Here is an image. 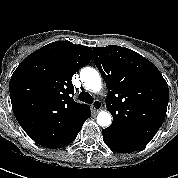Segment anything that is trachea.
I'll return each instance as SVG.
<instances>
[{
  "label": "trachea",
  "instance_id": "trachea-1",
  "mask_svg": "<svg viewBox=\"0 0 178 178\" xmlns=\"http://www.w3.org/2000/svg\"><path fill=\"white\" fill-rule=\"evenodd\" d=\"M78 99L80 101H83V102L88 103V104H91L93 102L92 96L85 91H83L79 94Z\"/></svg>",
  "mask_w": 178,
  "mask_h": 178
}]
</instances>
